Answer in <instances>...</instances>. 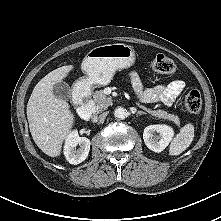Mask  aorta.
I'll list each match as a JSON object with an SVG mask.
<instances>
[{"mask_svg":"<svg viewBox=\"0 0 221 221\" xmlns=\"http://www.w3.org/2000/svg\"><path fill=\"white\" fill-rule=\"evenodd\" d=\"M114 116L118 119H124L127 116V110L123 107H117L114 110Z\"/></svg>","mask_w":221,"mask_h":221,"instance_id":"obj_1","label":"aorta"}]
</instances>
